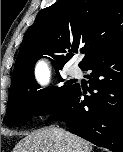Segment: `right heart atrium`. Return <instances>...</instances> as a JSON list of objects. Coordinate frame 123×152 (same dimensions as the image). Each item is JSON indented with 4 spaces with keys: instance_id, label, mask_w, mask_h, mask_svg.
Returning <instances> with one entry per match:
<instances>
[{
    "instance_id": "right-heart-atrium-1",
    "label": "right heart atrium",
    "mask_w": 123,
    "mask_h": 152,
    "mask_svg": "<svg viewBox=\"0 0 123 152\" xmlns=\"http://www.w3.org/2000/svg\"><path fill=\"white\" fill-rule=\"evenodd\" d=\"M54 107V99L52 97H48L43 100L39 109L37 110L35 117L37 119H43L47 117L53 110Z\"/></svg>"
}]
</instances>
